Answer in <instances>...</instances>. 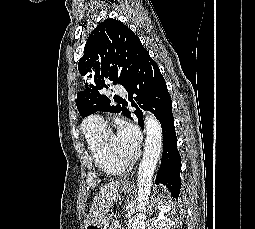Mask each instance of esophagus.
<instances>
[{
  "label": "esophagus",
  "mask_w": 255,
  "mask_h": 229,
  "mask_svg": "<svg viewBox=\"0 0 255 229\" xmlns=\"http://www.w3.org/2000/svg\"><path fill=\"white\" fill-rule=\"evenodd\" d=\"M125 185H126V186H130L131 183H130V182H126Z\"/></svg>",
  "instance_id": "esophagus-1"
}]
</instances>
